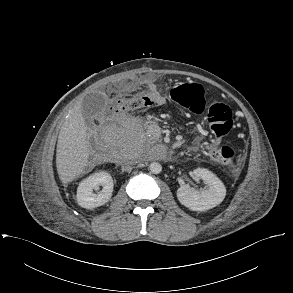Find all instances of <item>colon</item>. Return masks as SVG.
I'll return each mask as SVG.
<instances>
[{"label":"colon","instance_id":"colon-1","mask_svg":"<svg viewBox=\"0 0 293 293\" xmlns=\"http://www.w3.org/2000/svg\"><path fill=\"white\" fill-rule=\"evenodd\" d=\"M171 100L177 105L194 114H201L206 109L204 90L200 84L185 83L174 87L170 93ZM154 103L151 94H137L120 100L114 110L132 111L146 108ZM206 120L215 140L206 149L208 155L216 162L233 168L235 166V151L229 146H219L218 140L226 135L233 125L232 112L228 105L220 102L212 103L207 108Z\"/></svg>","mask_w":293,"mask_h":293}]
</instances>
